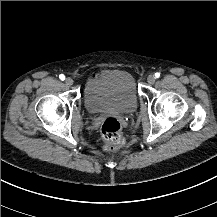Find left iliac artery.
Returning <instances> with one entry per match:
<instances>
[{
	"label": "left iliac artery",
	"instance_id": "obj_1",
	"mask_svg": "<svg viewBox=\"0 0 217 217\" xmlns=\"http://www.w3.org/2000/svg\"><path fill=\"white\" fill-rule=\"evenodd\" d=\"M154 75H155V78H159L160 77V73H158V72L155 73Z\"/></svg>",
	"mask_w": 217,
	"mask_h": 217
}]
</instances>
